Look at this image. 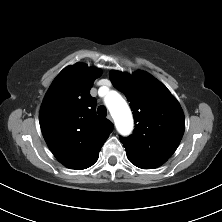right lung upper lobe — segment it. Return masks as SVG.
<instances>
[{"mask_svg": "<svg viewBox=\"0 0 222 222\" xmlns=\"http://www.w3.org/2000/svg\"><path fill=\"white\" fill-rule=\"evenodd\" d=\"M101 70L77 63L64 68L48 89L40 109V127L54 156L70 169H86L99 151L113 124L96 115L90 89Z\"/></svg>", "mask_w": 222, "mask_h": 222, "instance_id": "cb5924a9", "label": "right lung upper lobe"}]
</instances>
